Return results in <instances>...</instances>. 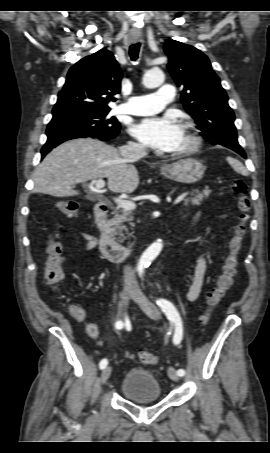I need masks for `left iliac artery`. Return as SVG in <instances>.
Returning a JSON list of instances; mask_svg holds the SVG:
<instances>
[{
    "label": "left iliac artery",
    "mask_w": 270,
    "mask_h": 453,
    "mask_svg": "<svg viewBox=\"0 0 270 453\" xmlns=\"http://www.w3.org/2000/svg\"><path fill=\"white\" fill-rule=\"evenodd\" d=\"M157 305L161 308V310L164 312L166 317L173 323H175V334L173 338L174 344H179L182 340V335H183V328H182V321L180 318V315L175 308V306L168 300L166 299H158ZM177 374L179 376H184L185 370L184 369H178Z\"/></svg>",
    "instance_id": "obj_1"
}]
</instances>
